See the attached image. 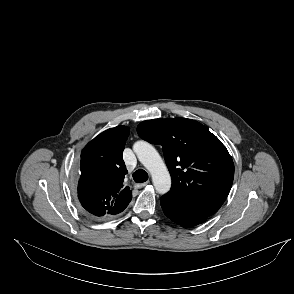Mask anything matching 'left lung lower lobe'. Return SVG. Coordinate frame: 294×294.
<instances>
[{
    "mask_svg": "<svg viewBox=\"0 0 294 294\" xmlns=\"http://www.w3.org/2000/svg\"><path fill=\"white\" fill-rule=\"evenodd\" d=\"M164 214L177 224L183 227H192L204 223L209 216L182 204L171 202L166 197L160 199Z\"/></svg>",
    "mask_w": 294,
    "mask_h": 294,
    "instance_id": "0a47b994",
    "label": "left lung lower lobe"
}]
</instances>
